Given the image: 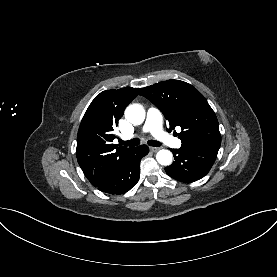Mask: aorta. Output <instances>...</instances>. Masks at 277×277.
Returning <instances> with one entry per match:
<instances>
[{"label":"aorta","instance_id":"762f6f07","mask_svg":"<svg viewBox=\"0 0 277 277\" xmlns=\"http://www.w3.org/2000/svg\"><path fill=\"white\" fill-rule=\"evenodd\" d=\"M125 118L134 125L143 123L145 119V110L139 104L129 105L125 110ZM172 153L169 150H159L156 154V160L159 164L168 166L172 162Z\"/></svg>","mask_w":277,"mask_h":277}]
</instances>
